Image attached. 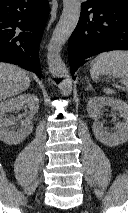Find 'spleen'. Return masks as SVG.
I'll return each instance as SVG.
<instances>
[{
    "instance_id": "1",
    "label": "spleen",
    "mask_w": 128,
    "mask_h": 213,
    "mask_svg": "<svg viewBox=\"0 0 128 213\" xmlns=\"http://www.w3.org/2000/svg\"><path fill=\"white\" fill-rule=\"evenodd\" d=\"M90 74L93 79L101 75L121 78L128 86V51H110L99 54L92 62ZM108 95L115 91L110 88H104Z\"/></svg>"
}]
</instances>
